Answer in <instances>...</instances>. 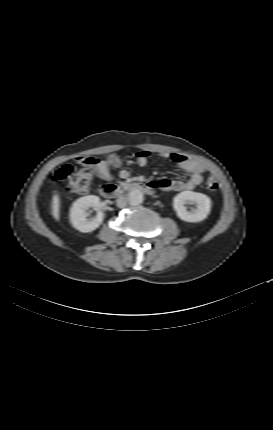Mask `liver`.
Here are the masks:
<instances>
[{
    "mask_svg": "<svg viewBox=\"0 0 273 430\" xmlns=\"http://www.w3.org/2000/svg\"><path fill=\"white\" fill-rule=\"evenodd\" d=\"M52 215L56 220L60 217V198L58 194H54L52 198Z\"/></svg>",
    "mask_w": 273,
    "mask_h": 430,
    "instance_id": "liver-1",
    "label": "liver"
}]
</instances>
